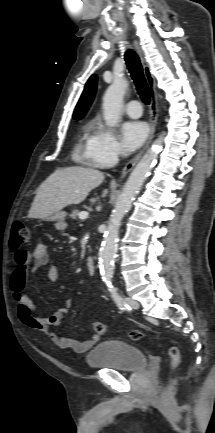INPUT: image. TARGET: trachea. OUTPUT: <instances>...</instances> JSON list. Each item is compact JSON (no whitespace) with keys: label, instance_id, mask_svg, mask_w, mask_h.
I'll list each match as a JSON object with an SVG mask.
<instances>
[{"label":"trachea","instance_id":"1","mask_svg":"<svg viewBox=\"0 0 215 433\" xmlns=\"http://www.w3.org/2000/svg\"><path fill=\"white\" fill-rule=\"evenodd\" d=\"M125 61L136 89L145 104L150 103L149 87L143 74V68L138 55L133 50L125 52Z\"/></svg>","mask_w":215,"mask_h":433}]
</instances>
